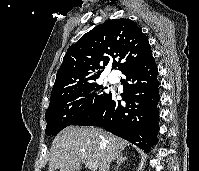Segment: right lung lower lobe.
Listing matches in <instances>:
<instances>
[{"mask_svg":"<svg viewBox=\"0 0 199 171\" xmlns=\"http://www.w3.org/2000/svg\"><path fill=\"white\" fill-rule=\"evenodd\" d=\"M121 94L124 106L109 93L97 106L79 117L71 125L101 126L105 130L134 143L149 152L157 142L159 131V81L158 69L151 55L122 71Z\"/></svg>","mask_w":199,"mask_h":171,"instance_id":"obj_1","label":"right lung lower lobe"}]
</instances>
